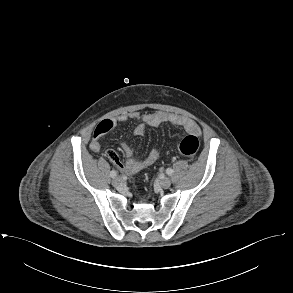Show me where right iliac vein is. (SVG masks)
<instances>
[{"label":"right iliac vein","mask_w":293,"mask_h":293,"mask_svg":"<svg viewBox=\"0 0 293 293\" xmlns=\"http://www.w3.org/2000/svg\"><path fill=\"white\" fill-rule=\"evenodd\" d=\"M121 183H122V179H121V177H116V178H114V179L112 180V184H113L114 186H119Z\"/></svg>","instance_id":"1"}]
</instances>
